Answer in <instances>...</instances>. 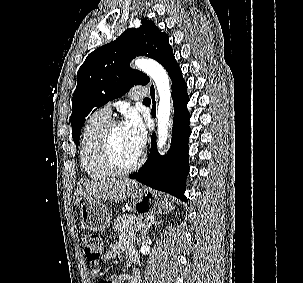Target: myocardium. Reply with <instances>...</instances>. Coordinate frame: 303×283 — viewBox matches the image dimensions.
I'll use <instances>...</instances> for the list:
<instances>
[{
	"label": "myocardium",
	"mask_w": 303,
	"mask_h": 283,
	"mask_svg": "<svg viewBox=\"0 0 303 283\" xmlns=\"http://www.w3.org/2000/svg\"><path fill=\"white\" fill-rule=\"evenodd\" d=\"M121 126L118 121H109L103 129L97 146L98 159L102 167L111 175L122 176L138 169L144 159L143 152H140L136 160L129 166H120L114 157L112 149V134L115 128Z\"/></svg>",
	"instance_id": "myocardium-1"
}]
</instances>
